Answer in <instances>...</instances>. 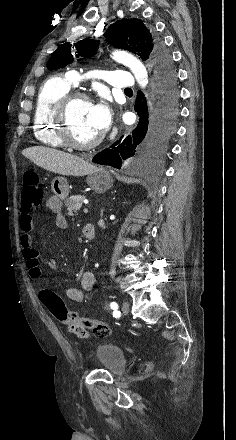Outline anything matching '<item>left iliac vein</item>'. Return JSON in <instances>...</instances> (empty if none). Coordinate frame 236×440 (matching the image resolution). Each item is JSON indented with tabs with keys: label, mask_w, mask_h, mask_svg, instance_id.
Here are the masks:
<instances>
[{
	"label": "left iliac vein",
	"mask_w": 236,
	"mask_h": 440,
	"mask_svg": "<svg viewBox=\"0 0 236 440\" xmlns=\"http://www.w3.org/2000/svg\"><path fill=\"white\" fill-rule=\"evenodd\" d=\"M122 311L126 315L130 313V304L127 301L122 303Z\"/></svg>",
	"instance_id": "1"
}]
</instances>
